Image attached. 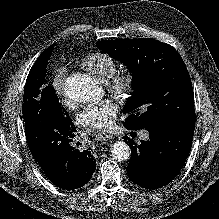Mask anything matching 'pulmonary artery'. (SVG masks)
I'll use <instances>...</instances> for the list:
<instances>
[{"label": "pulmonary artery", "instance_id": "pulmonary-artery-1", "mask_svg": "<svg viewBox=\"0 0 219 219\" xmlns=\"http://www.w3.org/2000/svg\"><path fill=\"white\" fill-rule=\"evenodd\" d=\"M142 137L145 138V137H146V134H143Z\"/></svg>", "mask_w": 219, "mask_h": 219}]
</instances>
